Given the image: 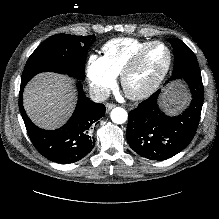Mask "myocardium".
Here are the masks:
<instances>
[{"label":"myocardium","mask_w":219,"mask_h":219,"mask_svg":"<svg viewBox=\"0 0 219 219\" xmlns=\"http://www.w3.org/2000/svg\"><path fill=\"white\" fill-rule=\"evenodd\" d=\"M162 46L167 54V60L163 68L152 78V80L139 90H132L128 86L130 76L137 69L146 54L154 47ZM172 65V53L170 48L161 41H151L146 47L139 50L126 64L120 74V83L125 94L133 100H142L151 96L162 84L168 75Z\"/></svg>","instance_id":"1"}]
</instances>
